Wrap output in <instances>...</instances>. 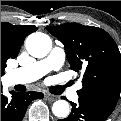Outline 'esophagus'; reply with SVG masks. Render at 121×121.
<instances>
[{
    "instance_id": "34e87169",
    "label": "esophagus",
    "mask_w": 121,
    "mask_h": 121,
    "mask_svg": "<svg viewBox=\"0 0 121 121\" xmlns=\"http://www.w3.org/2000/svg\"><path fill=\"white\" fill-rule=\"evenodd\" d=\"M45 98L49 101H54V100L57 99V97L55 95H52V94H49V93L45 94Z\"/></svg>"
}]
</instances>
